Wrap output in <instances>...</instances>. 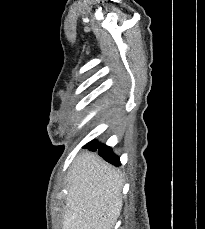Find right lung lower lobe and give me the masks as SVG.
<instances>
[{
	"label": "right lung lower lobe",
	"mask_w": 205,
	"mask_h": 229,
	"mask_svg": "<svg viewBox=\"0 0 205 229\" xmlns=\"http://www.w3.org/2000/svg\"><path fill=\"white\" fill-rule=\"evenodd\" d=\"M83 148H87L90 151L98 150V153L109 163L116 166H120L119 158L112 152V149L106 145L98 144L96 140L87 143Z\"/></svg>",
	"instance_id": "obj_1"
}]
</instances>
